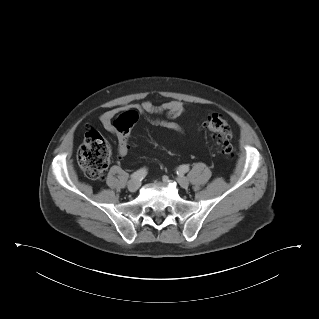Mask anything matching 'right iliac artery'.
Masks as SVG:
<instances>
[{
	"label": "right iliac artery",
	"instance_id": "right-iliac-artery-1",
	"mask_svg": "<svg viewBox=\"0 0 319 319\" xmlns=\"http://www.w3.org/2000/svg\"><path fill=\"white\" fill-rule=\"evenodd\" d=\"M147 174V171L145 168H141L139 170H137L136 172H134L132 175H131V178L132 179H138V180H141L143 179Z\"/></svg>",
	"mask_w": 319,
	"mask_h": 319
}]
</instances>
